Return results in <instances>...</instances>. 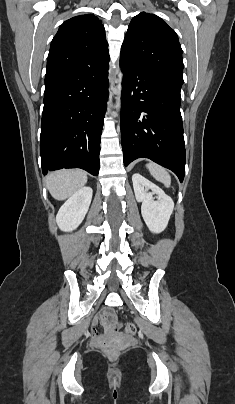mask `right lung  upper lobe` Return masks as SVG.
<instances>
[{"mask_svg":"<svg viewBox=\"0 0 235 404\" xmlns=\"http://www.w3.org/2000/svg\"><path fill=\"white\" fill-rule=\"evenodd\" d=\"M104 26L93 14L73 17L63 23L53 38L46 76L109 62Z\"/></svg>","mask_w":235,"mask_h":404,"instance_id":"1","label":"right lung upper lobe"}]
</instances>
